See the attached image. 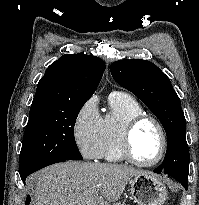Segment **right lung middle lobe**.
I'll return each mask as SVG.
<instances>
[{
  "label": "right lung middle lobe",
  "mask_w": 199,
  "mask_h": 205,
  "mask_svg": "<svg viewBox=\"0 0 199 205\" xmlns=\"http://www.w3.org/2000/svg\"><path fill=\"white\" fill-rule=\"evenodd\" d=\"M86 101L56 104L29 112L20 153V175L52 160L83 159L75 142L74 125Z\"/></svg>",
  "instance_id": "1"
}]
</instances>
